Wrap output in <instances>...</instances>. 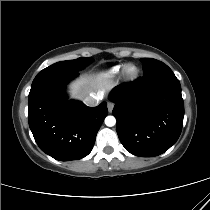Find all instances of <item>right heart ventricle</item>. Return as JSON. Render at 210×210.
Segmentation results:
<instances>
[{"label":"right heart ventricle","mask_w":210,"mask_h":210,"mask_svg":"<svg viewBox=\"0 0 210 210\" xmlns=\"http://www.w3.org/2000/svg\"><path fill=\"white\" fill-rule=\"evenodd\" d=\"M122 70V66H115L108 71L109 76H116Z\"/></svg>","instance_id":"right-heart-ventricle-1"}]
</instances>
